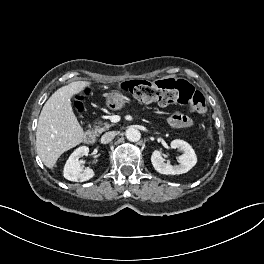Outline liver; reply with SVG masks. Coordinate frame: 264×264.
<instances>
[{"mask_svg": "<svg viewBox=\"0 0 264 264\" xmlns=\"http://www.w3.org/2000/svg\"><path fill=\"white\" fill-rule=\"evenodd\" d=\"M90 85L86 81L72 82L55 91L44 104L38 119L36 148L46 167L52 169L64 152L82 142L84 131L72 110L71 98Z\"/></svg>", "mask_w": 264, "mask_h": 264, "instance_id": "liver-1", "label": "liver"}]
</instances>
